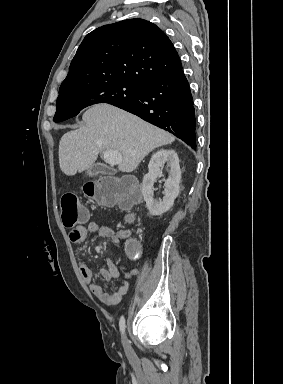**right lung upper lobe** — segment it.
<instances>
[{
    "instance_id": "obj_1",
    "label": "right lung upper lobe",
    "mask_w": 283,
    "mask_h": 384,
    "mask_svg": "<svg viewBox=\"0 0 283 384\" xmlns=\"http://www.w3.org/2000/svg\"><path fill=\"white\" fill-rule=\"evenodd\" d=\"M180 70L179 55L158 26L128 19L99 27L84 38L60 88L112 80L142 86Z\"/></svg>"
}]
</instances>
